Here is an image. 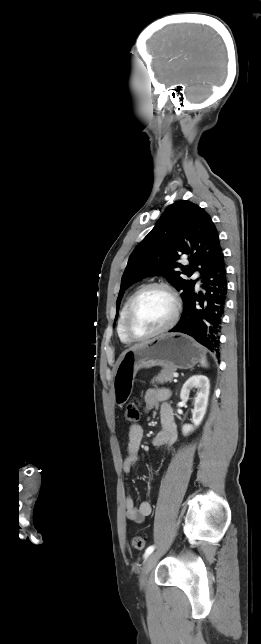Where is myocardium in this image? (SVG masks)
<instances>
[{
  "instance_id": "obj_1",
  "label": "myocardium",
  "mask_w": 261,
  "mask_h": 644,
  "mask_svg": "<svg viewBox=\"0 0 261 644\" xmlns=\"http://www.w3.org/2000/svg\"><path fill=\"white\" fill-rule=\"evenodd\" d=\"M152 288L162 289V290L166 291L169 294V296L171 297L172 302H173V313H172V316H171L170 320L163 327H161L158 330L153 331V332H151L149 334L139 336V335H136L132 331L131 326H130L132 313H133L135 304H136L137 300L139 299V297L144 292H146L147 290L152 289ZM180 313H181V302H180L178 294L176 293V291L171 286H169L168 284H166L164 282H150V283H147V284L141 286L132 295V297H131V299H130V301L128 303V306H127V309H126V312H125V316H124V321H123L124 333L127 336V338L130 339L132 342H142V341L149 340L151 338H154L156 336H159V335L164 334V333L168 332L169 330H171L176 325V323L178 322Z\"/></svg>"
}]
</instances>
